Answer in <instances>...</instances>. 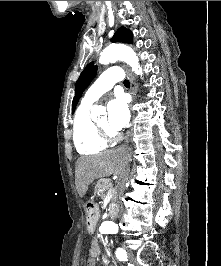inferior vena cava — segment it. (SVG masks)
Returning a JSON list of instances; mask_svg holds the SVG:
<instances>
[{
    "instance_id": "obj_1",
    "label": "inferior vena cava",
    "mask_w": 221,
    "mask_h": 266,
    "mask_svg": "<svg viewBox=\"0 0 221 266\" xmlns=\"http://www.w3.org/2000/svg\"><path fill=\"white\" fill-rule=\"evenodd\" d=\"M128 172H129V167L126 168L125 175L121 177V183H120L121 188H124L125 186V181L127 179Z\"/></svg>"
}]
</instances>
